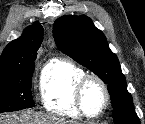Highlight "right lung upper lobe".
<instances>
[{
    "label": "right lung upper lobe",
    "instance_id": "right-lung-upper-lobe-1",
    "mask_svg": "<svg viewBox=\"0 0 145 124\" xmlns=\"http://www.w3.org/2000/svg\"><path fill=\"white\" fill-rule=\"evenodd\" d=\"M43 35V27L39 22L27 27L18 39L4 49L0 56V71L15 70L34 63Z\"/></svg>",
    "mask_w": 145,
    "mask_h": 124
}]
</instances>
